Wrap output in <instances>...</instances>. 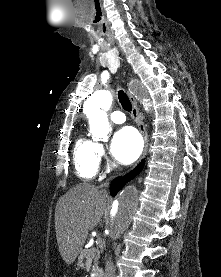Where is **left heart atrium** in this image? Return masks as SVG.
I'll return each instance as SVG.
<instances>
[{
    "label": "left heart atrium",
    "instance_id": "left-heart-atrium-1",
    "mask_svg": "<svg viewBox=\"0 0 221 277\" xmlns=\"http://www.w3.org/2000/svg\"><path fill=\"white\" fill-rule=\"evenodd\" d=\"M142 139L132 127H124L113 136L110 151L114 159L130 164L135 161L142 151Z\"/></svg>",
    "mask_w": 221,
    "mask_h": 277
}]
</instances>
